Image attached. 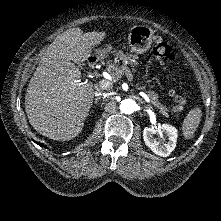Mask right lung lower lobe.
Here are the masks:
<instances>
[{"label":"right lung lower lobe","instance_id":"obj_1","mask_svg":"<svg viewBox=\"0 0 221 221\" xmlns=\"http://www.w3.org/2000/svg\"><path fill=\"white\" fill-rule=\"evenodd\" d=\"M34 142L37 143V144L40 145V146H43L42 143H39V142H36V141H34ZM45 148H47V147H45Z\"/></svg>","mask_w":221,"mask_h":221}]
</instances>
